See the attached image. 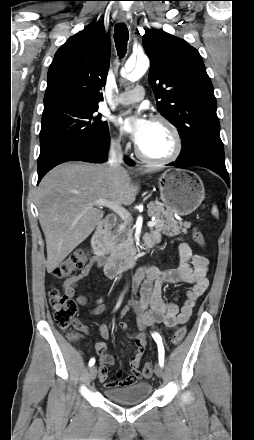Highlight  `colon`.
Returning a JSON list of instances; mask_svg holds the SVG:
<instances>
[{
    "label": "colon",
    "mask_w": 254,
    "mask_h": 440,
    "mask_svg": "<svg viewBox=\"0 0 254 440\" xmlns=\"http://www.w3.org/2000/svg\"><path fill=\"white\" fill-rule=\"evenodd\" d=\"M194 241L201 247H205L206 239L203 233L194 229L192 233ZM88 253L86 249L80 248L72 252L64 261L58 264L52 271V274L59 279L67 278L74 275L86 262ZM49 301L53 311L54 322L58 328L62 330H73L78 327L75 321V314L77 312L76 303L65 293L56 288L49 291ZM186 335V328L180 327L177 329L171 339L173 345H178L182 342ZM76 336H74L75 338ZM143 374L146 377H151L153 374V366L151 363H146L143 368Z\"/></svg>",
    "instance_id": "5ec220e1"
}]
</instances>
